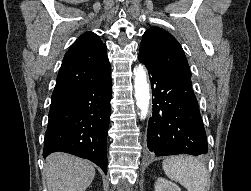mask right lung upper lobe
Instances as JSON below:
<instances>
[{
    "label": "right lung upper lobe",
    "instance_id": "obj_1",
    "mask_svg": "<svg viewBox=\"0 0 251 191\" xmlns=\"http://www.w3.org/2000/svg\"><path fill=\"white\" fill-rule=\"evenodd\" d=\"M110 75L106 45L93 32H86L65 54L52 100L94 85Z\"/></svg>",
    "mask_w": 251,
    "mask_h": 191
}]
</instances>
